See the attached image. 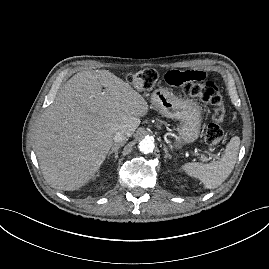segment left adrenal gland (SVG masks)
<instances>
[{
	"instance_id": "left-adrenal-gland-1",
	"label": "left adrenal gland",
	"mask_w": 269,
	"mask_h": 269,
	"mask_svg": "<svg viewBox=\"0 0 269 269\" xmlns=\"http://www.w3.org/2000/svg\"><path fill=\"white\" fill-rule=\"evenodd\" d=\"M164 153H165V155H164L165 160L171 159V155L168 153V150L166 147H164Z\"/></svg>"
}]
</instances>
